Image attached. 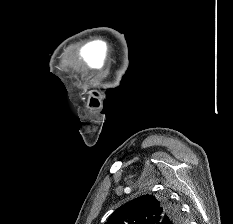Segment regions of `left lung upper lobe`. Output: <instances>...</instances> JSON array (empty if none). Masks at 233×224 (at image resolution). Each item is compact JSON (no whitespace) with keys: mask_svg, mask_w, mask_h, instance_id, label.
<instances>
[{"mask_svg":"<svg viewBox=\"0 0 233 224\" xmlns=\"http://www.w3.org/2000/svg\"><path fill=\"white\" fill-rule=\"evenodd\" d=\"M179 209L165 196L143 195L119 207L105 224H180Z\"/></svg>","mask_w":233,"mask_h":224,"instance_id":"1","label":"left lung upper lobe"}]
</instances>
